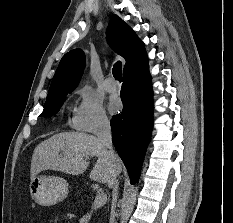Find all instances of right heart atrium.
<instances>
[{"instance_id": "obj_1", "label": "right heart atrium", "mask_w": 233, "mask_h": 223, "mask_svg": "<svg viewBox=\"0 0 233 223\" xmlns=\"http://www.w3.org/2000/svg\"><path fill=\"white\" fill-rule=\"evenodd\" d=\"M80 101L72 116L74 129L97 133L110 128V119L103 103L86 89L78 91Z\"/></svg>"}]
</instances>
